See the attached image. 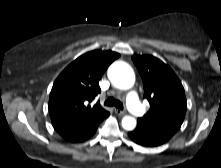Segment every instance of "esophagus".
Returning <instances> with one entry per match:
<instances>
[{"label": "esophagus", "instance_id": "esophagus-1", "mask_svg": "<svg viewBox=\"0 0 221 168\" xmlns=\"http://www.w3.org/2000/svg\"><path fill=\"white\" fill-rule=\"evenodd\" d=\"M115 113L120 115V116H123L126 114V111H123V110H120V109H115Z\"/></svg>", "mask_w": 221, "mask_h": 168}]
</instances>
